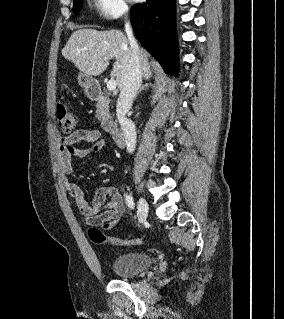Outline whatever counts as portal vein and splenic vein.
I'll return each instance as SVG.
<instances>
[{
  "instance_id": "18ae733b",
  "label": "portal vein and splenic vein",
  "mask_w": 284,
  "mask_h": 319,
  "mask_svg": "<svg viewBox=\"0 0 284 319\" xmlns=\"http://www.w3.org/2000/svg\"><path fill=\"white\" fill-rule=\"evenodd\" d=\"M116 87H117V82L113 79L109 80L108 83H107V89L109 91H114L116 90Z\"/></svg>"
}]
</instances>
